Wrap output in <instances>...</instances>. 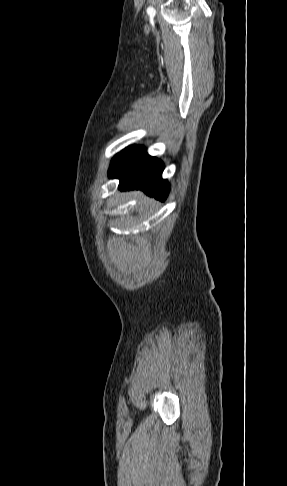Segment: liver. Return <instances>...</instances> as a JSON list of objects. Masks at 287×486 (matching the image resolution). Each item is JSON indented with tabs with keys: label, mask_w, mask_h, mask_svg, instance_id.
<instances>
[{
	"label": "liver",
	"mask_w": 287,
	"mask_h": 486,
	"mask_svg": "<svg viewBox=\"0 0 287 486\" xmlns=\"http://www.w3.org/2000/svg\"><path fill=\"white\" fill-rule=\"evenodd\" d=\"M130 196L132 198H136L138 199V206L139 208L142 210V206L143 205H148L150 204L152 201L149 197L145 196L144 194L140 193V192H131L130 193Z\"/></svg>",
	"instance_id": "6515ba94"
}]
</instances>
